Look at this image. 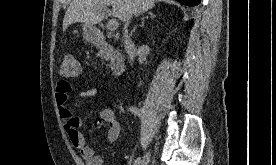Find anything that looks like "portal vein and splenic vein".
<instances>
[{
    "instance_id": "obj_1",
    "label": "portal vein and splenic vein",
    "mask_w": 276,
    "mask_h": 165,
    "mask_svg": "<svg viewBox=\"0 0 276 165\" xmlns=\"http://www.w3.org/2000/svg\"><path fill=\"white\" fill-rule=\"evenodd\" d=\"M118 27V22L116 19H111L108 21L107 28L110 31L116 30Z\"/></svg>"
}]
</instances>
